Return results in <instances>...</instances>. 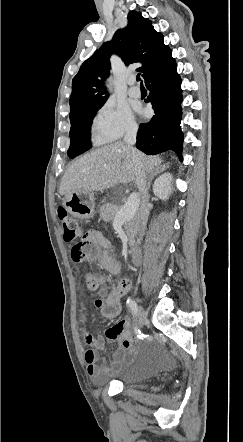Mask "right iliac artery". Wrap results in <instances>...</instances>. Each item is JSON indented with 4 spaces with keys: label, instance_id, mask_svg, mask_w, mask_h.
Segmentation results:
<instances>
[{
    "label": "right iliac artery",
    "instance_id": "82829eb1",
    "mask_svg": "<svg viewBox=\"0 0 243 442\" xmlns=\"http://www.w3.org/2000/svg\"><path fill=\"white\" fill-rule=\"evenodd\" d=\"M126 303H127V307H128L129 310L131 311V313H132L134 316H137L138 309H137V304H136V302H135L133 299L129 298V299L127 300Z\"/></svg>",
    "mask_w": 243,
    "mask_h": 442
}]
</instances>
